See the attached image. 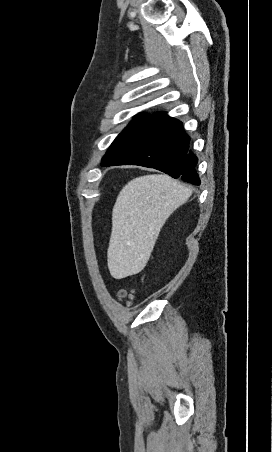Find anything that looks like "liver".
I'll list each match as a JSON object with an SVG mask.
<instances>
[{
    "mask_svg": "<svg viewBox=\"0 0 272 452\" xmlns=\"http://www.w3.org/2000/svg\"><path fill=\"white\" fill-rule=\"evenodd\" d=\"M190 195L189 188L163 174L134 178L122 188L112 211L107 251L113 278L123 279L144 269L164 223Z\"/></svg>",
    "mask_w": 272,
    "mask_h": 452,
    "instance_id": "1",
    "label": "liver"
}]
</instances>
